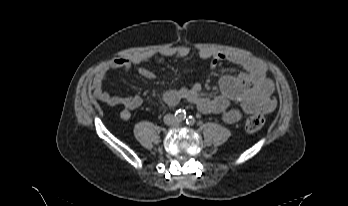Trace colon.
Listing matches in <instances>:
<instances>
[{
	"mask_svg": "<svg viewBox=\"0 0 348 206\" xmlns=\"http://www.w3.org/2000/svg\"><path fill=\"white\" fill-rule=\"evenodd\" d=\"M265 124V117L262 114L250 115L245 121V128L250 132L260 130Z\"/></svg>",
	"mask_w": 348,
	"mask_h": 206,
	"instance_id": "1",
	"label": "colon"
}]
</instances>
